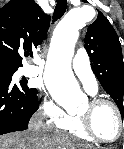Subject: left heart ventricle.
Listing matches in <instances>:
<instances>
[{"label": "left heart ventricle", "instance_id": "1", "mask_svg": "<svg viewBox=\"0 0 124 149\" xmlns=\"http://www.w3.org/2000/svg\"><path fill=\"white\" fill-rule=\"evenodd\" d=\"M90 113L91 122L95 132L104 139L112 140L119 133V125L116 115L110 106L102 105L95 109H90L89 103H86L80 114Z\"/></svg>", "mask_w": 124, "mask_h": 149}]
</instances>
